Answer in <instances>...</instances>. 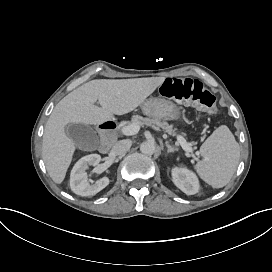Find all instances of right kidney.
<instances>
[{
    "label": "right kidney",
    "mask_w": 272,
    "mask_h": 272,
    "mask_svg": "<svg viewBox=\"0 0 272 272\" xmlns=\"http://www.w3.org/2000/svg\"><path fill=\"white\" fill-rule=\"evenodd\" d=\"M101 161L99 154H90L79 159L71 170L70 188L80 196H93L104 189L109 184V179L103 177L90 185L86 170L89 166H97ZM96 173H101V170H95Z\"/></svg>",
    "instance_id": "ca27d5eb"
}]
</instances>
